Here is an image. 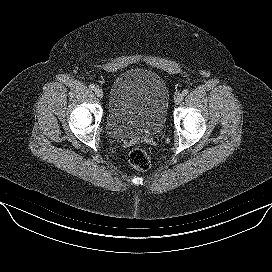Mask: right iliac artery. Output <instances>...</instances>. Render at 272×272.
Returning a JSON list of instances; mask_svg holds the SVG:
<instances>
[{
  "instance_id": "obj_1",
  "label": "right iliac artery",
  "mask_w": 272,
  "mask_h": 272,
  "mask_svg": "<svg viewBox=\"0 0 272 272\" xmlns=\"http://www.w3.org/2000/svg\"><path fill=\"white\" fill-rule=\"evenodd\" d=\"M89 88H90L91 90H94V89H95V85H94V84H90V85H89Z\"/></svg>"
}]
</instances>
